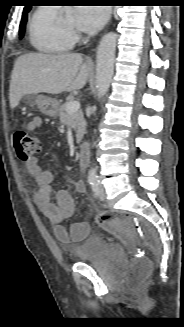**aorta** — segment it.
<instances>
[{"mask_svg":"<svg viewBox=\"0 0 184 327\" xmlns=\"http://www.w3.org/2000/svg\"><path fill=\"white\" fill-rule=\"evenodd\" d=\"M117 37V34L114 32L105 34L97 48L96 88L99 98L105 96L112 82ZM88 175L89 177L96 178V170L91 169Z\"/></svg>","mask_w":184,"mask_h":327,"instance_id":"1","label":"aorta"}]
</instances>
